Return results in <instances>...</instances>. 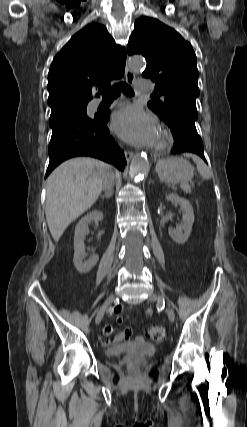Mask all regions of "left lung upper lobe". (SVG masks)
<instances>
[{
  "label": "left lung upper lobe",
  "instance_id": "5c2ea615",
  "mask_svg": "<svg viewBox=\"0 0 247 427\" xmlns=\"http://www.w3.org/2000/svg\"><path fill=\"white\" fill-rule=\"evenodd\" d=\"M129 55L141 54L147 60L143 77L156 82V93L164 96L148 102L163 121L176 117L196 121L199 72L191 44L174 29L157 19L143 17L135 22L127 46Z\"/></svg>",
  "mask_w": 247,
  "mask_h": 427
}]
</instances>
